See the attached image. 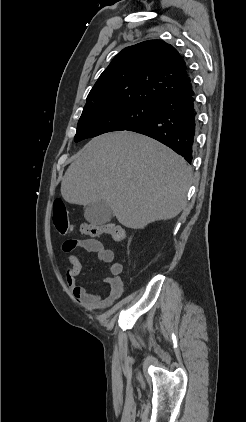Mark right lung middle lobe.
<instances>
[{"mask_svg": "<svg viewBox=\"0 0 246 422\" xmlns=\"http://www.w3.org/2000/svg\"><path fill=\"white\" fill-rule=\"evenodd\" d=\"M157 104L134 100L105 102L84 107L74 141L112 131L128 130L156 115Z\"/></svg>", "mask_w": 246, "mask_h": 422, "instance_id": "1", "label": "right lung middle lobe"}]
</instances>
